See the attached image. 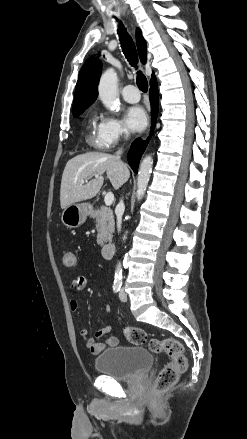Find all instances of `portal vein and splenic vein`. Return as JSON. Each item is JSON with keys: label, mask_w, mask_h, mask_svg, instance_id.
Wrapping results in <instances>:
<instances>
[{"label": "portal vein and splenic vein", "mask_w": 247, "mask_h": 439, "mask_svg": "<svg viewBox=\"0 0 247 439\" xmlns=\"http://www.w3.org/2000/svg\"><path fill=\"white\" fill-rule=\"evenodd\" d=\"M95 177L97 178L98 175H95ZM82 184L86 183V181H82ZM114 201V194L112 192H108L105 197H104V202L106 206H110Z\"/></svg>", "instance_id": "obj_1"}]
</instances>
